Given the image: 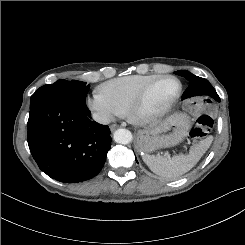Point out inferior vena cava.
I'll list each match as a JSON object with an SVG mask.
<instances>
[{"label":"inferior vena cava","mask_w":245,"mask_h":245,"mask_svg":"<svg viewBox=\"0 0 245 245\" xmlns=\"http://www.w3.org/2000/svg\"><path fill=\"white\" fill-rule=\"evenodd\" d=\"M93 119L101 124H109L110 123V118L105 116V115H101L99 113H94L93 114Z\"/></svg>","instance_id":"obj_1"}]
</instances>
